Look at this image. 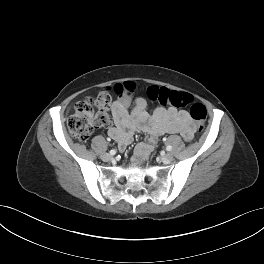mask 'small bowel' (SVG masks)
I'll return each mask as SVG.
<instances>
[{
  "instance_id": "small-bowel-1",
  "label": "small bowel",
  "mask_w": 264,
  "mask_h": 264,
  "mask_svg": "<svg viewBox=\"0 0 264 264\" xmlns=\"http://www.w3.org/2000/svg\"><path fill=\"white\" fill-rule=\"evenodd\" d=\"M129 104V99L113 103L115 126L109 129V135L118 144L120 150H124L132 142L135 131L140 130L150 135L149 142H141L136 146L133 156L135 163L142 164L148 158L159 135L178 133L185 141L193 139L196 126L187 111L175 108L157 109L152 116H149L146 101L137 98L129 114Z\"/></svg>"
}]
</instances>
